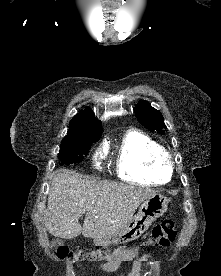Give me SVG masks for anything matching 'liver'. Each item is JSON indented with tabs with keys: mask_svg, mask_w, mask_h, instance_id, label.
Returning <instances> with one entry per match:
<instances>
[{
	"mask_svg": "<svg viewBox=\"0 0 221 276\" xmlns=\"http://www.w3.org/2000/svg\"><path fill=\"white\" fill-rule=\"evenodd\" d=\"M155 194L134 185L87 180L69 171H57L48 196L45 225L56 237L73 239L82 233L101 240L124 229L139 205ZM83 214L82 227L79 218Z\"/></svg>",
	"mask_w": 221,
	"mask_h": 276,
	"instance_id": "1",
	"label": "liver"
}]
</instances>
